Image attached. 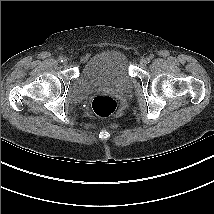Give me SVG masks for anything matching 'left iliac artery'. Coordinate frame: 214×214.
Segmentation results:
<instances>
[{"instance_id":"left-iliac-artery-1","label":"left iliac artery","mask_w":214,"mask_h":214,"mask_svg":"<svg viewBox=\"0 0 214 214\" xmlns=\"http://www.w3.org/2000/svg\"><path fill=\"white\" fill-rule=\"evenodd\" d=\"M154 58V55L153 54H150L149 55V58H148V61H150V59H153ZM149 63V62H148Z\"/></svg>"}]
</instances>
